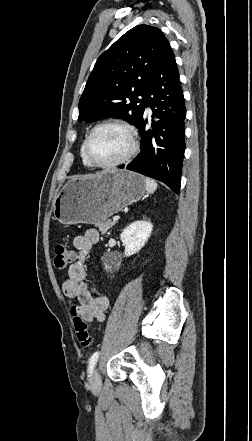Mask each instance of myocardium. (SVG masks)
<instances>
[{
  "instance_id": "f54148a6",
  "label": "myocardium",
  "mask_w": 252,
  "mask_h": 441,
  "mask_svg": "<svg viewBox=\"0 0 252 441\" xmlns=\"http://www.w3.org/2000/svg\"><path fill=\"white\" fill-rule=\"evenodd\" d=\"M107 126H113V127H118V128L123 129L129 138L130 147H129V150L127 151V153L119 160L111 162V163H98V162L94 161L89 155V151H88L89 142L97 130H99L100 128H103V127H107ZM137 151H138V139H137V134H136L134 127L132 125H130L129 123H127L125 121H121V120H105V121H102V122L96 124L90 130L89 134L86 136L84 143H83V155H84L86 161L92 167L101 168V169H111V168L123 166L134 157V155L136 154Z\"/></svg>"
}]
</instances>
